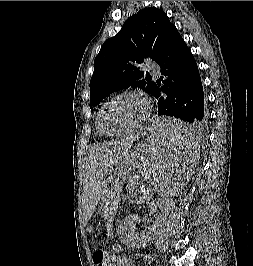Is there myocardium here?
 I'll use <instances>...</instances> for the list:
<instances>
[{"instance_id":"1","label":"myocardium","mask_w":253,"mask_h":266,"mask_svg":"<svg viewBox=\"0 0 253 266\" xmlns=\"http://www.w3.org/2000/svg\"><path fill=\"white\" fill-rule=\"evenodd\" d=\"M124 96H134V97L139 98L144 103V112H143V114L130 127L126 128L124 130L118 131V132H114V133H105L102 130L101 124H100V119H101L102 112L104 111V109L109 104H111L115 100H117V99H119L121 97H124ZM151 111H152L151 101L149 100V98L144 93H142L140 91H137V90H125V91L119 92L118 94L114 95L111 99H109L107 102H105L101 106L100 110L98 111L97 117H96V128H97V131L103 137H116V136H120V135H123V134H127V133L139 128L140 126H142L147 121V119L149 118V116L151 114Z\"/></svg>"}]
</instances>
